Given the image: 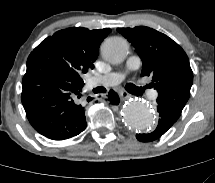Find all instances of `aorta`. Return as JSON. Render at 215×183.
<instances>
[{
	"label": "aorta",
	"instance_id": "1",
	"mask_svg": "<svg viewBox=\"0 0 215 183\" xmlns=\"http://www.w3.org/2000/svg\"><path fill=\"white\" fill-rule=\"evenodd\" d=\"M127 42L120 37H111L101 47L103 57L113 64L121 63L127 55ZM122 120L132 131L152 129L156 123L154 113L144 103L132 100L127 102L121 112Z\"/></svg>",
	"mask_w": 215,
	"mask_h": 183
}]
</instances>
